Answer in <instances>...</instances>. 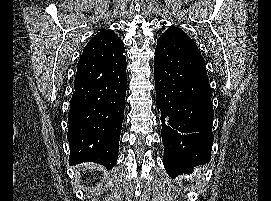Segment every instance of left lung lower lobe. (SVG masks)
<instances>
[{
  "label": "left lung lower lobe",
  "instance_id": "1",
  "mask_svg": "<svg viewBox=\"0 0 271 201\" xmlns=\"http://www.w3.org/2000/svg\"><path fill=\"white\" fill-rule=\"evenodd\" d=\"M164 167L174 177L211 159L214 111L204 59L183 30L158 39L154 56Z\"/></svg>",
  "mask_w": 271,
  "mask_h": 201
}]
</instances>
